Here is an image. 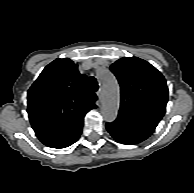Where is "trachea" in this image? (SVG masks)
<instances>
[{"label":"trachea","mask_w":194,"mask_h":193,"mask_svg":"<svg viewBox=\"0 0 194 193\" xmlns=\"http://www.w3.org/2000/svg\"><path fill=\"white\" fill-rule=\"evenodd\" d=\"M88 86L90 87L91 90L97 91L99 86H98L96 78H94L93 76L89 77Z\"/></svg>","instance_id":"1"}]
</instances>
